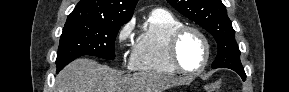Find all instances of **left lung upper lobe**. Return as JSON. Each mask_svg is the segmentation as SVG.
<instances>
[{
  "instance_id": "obj_1",
  "label": "left lung upper lobe",
  "mask_w": 289,
  "mask_h": 92,
  "mask_svg": "<svg viewBox=\"0 0 289 92\" xmlns=\"http://www.w3.org/2000/svg\"><path fill=\"white\" fill-rule=\"evenodd\" d=\"M167 2L214 36L218 45V55L212 68L244 70L240 62V50L235 41V31L221 0H167Z\"/></svg>"
}]
</instances>
